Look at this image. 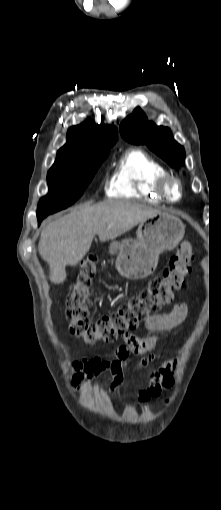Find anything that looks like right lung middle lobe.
<instances>
[{
    "label": "right lung middle lobe",
    "instance_id": "dd1d6c3e",
    "mask_svg": "<svg viewBox=\"0 0 221 510\" xmlns=\"http://www.w3.org/2000/svg\"><path fill=\"white\" fill-rule=\"evenodd\" d=\"M109 152L55 162L47 174L49 193L40 199L37 217L65 209L79 199Z\"/></svg>",
    "mask_w": 221,
    "mask_h": 510
}]
</instances>
